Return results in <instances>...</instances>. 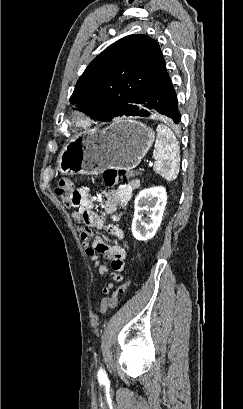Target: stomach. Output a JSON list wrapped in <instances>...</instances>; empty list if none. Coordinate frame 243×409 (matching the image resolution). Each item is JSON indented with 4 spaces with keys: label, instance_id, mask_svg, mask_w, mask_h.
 <instances>
[{
    "label": "stomach",
    "instance_id": "stomach-1",
    "mask_svg": "<svg viewBox=\"0 0 243 409\" xmlns=\"http://www.w3.org/2000/svg\"><path fill=\"white\" fill-rule=\"evenodd\" d=\"M155 139L145 124L118 119L103 130L86 131L71 139L57 163L62 174H99L106 169H134Z\"/></svg>",
    "mask_w": 243,
    "mask_h": 409
}]
</instances>
